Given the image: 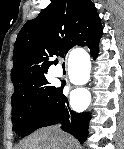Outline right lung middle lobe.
I'll list each match as a JSON object with an SVG mask.
<instances>
[{
	"mask_svg": "<svg viewBox=\"0 0 124 149\" xmlns=\"http://www.w3.org/2000/svg\"><path fill=\"white\" fill-rule=\"evenodd\" d=\"M58 88L51 86L46 76L30 85L15 88L12 95L13 131L21 135L29 119L46 107Z\"/></svg>",
	"mask_w": 124,
	"mask_h": 149,
	"instance_id": "dd1d6c3e",
	"label": "right lung middle lobe"
}]
</instances>
